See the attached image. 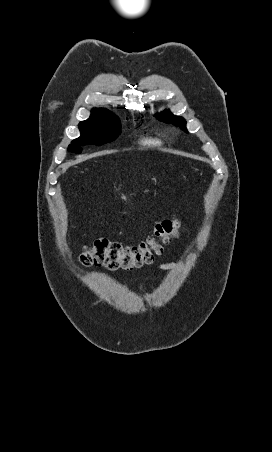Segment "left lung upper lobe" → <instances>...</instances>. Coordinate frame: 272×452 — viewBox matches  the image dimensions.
<instances>
[{
	"mask_svg": "<svg viewBox=\"0 0 272 452\" xmlns=\"http://www.w3.org/2000/svg\"><path fill=\"white\" fill-rule=\"evenodd\" d=\"M155 116L158 120H161V121H164L167 123L172 122L173 124L178 125L182 129L186 130V126H185L186 121L182 117H177V116L172 115L170 111H165L160 114H156Z\"/></svg>",
	"mask_w": 272,
	"mask_h": 452,
	"instance_id": "left-lung-upper-lobe-1",
	"label": "left lung upper lobe"
}]
</instances>
